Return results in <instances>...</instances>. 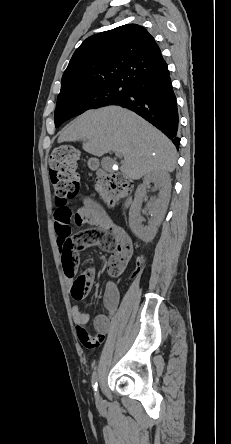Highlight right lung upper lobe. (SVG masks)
<instances>
[{
    "instance_id": "1",
    "label": "right lung upper lobe",
    "mask_w": 231,
    "mask_h": 444,
    "mask_svg": "<svg viewBox=\"0 0 231 444\" xmlns=\"http://www.w3.org/2000/svg\"><path fill=\"white\" fill-rule=\"evenodd\" d=\"M166 69L152 35L140 25L127 24L93 35L76 49L60 93L111 83L131 85Z\"/></svg>"
}]
</instances>
